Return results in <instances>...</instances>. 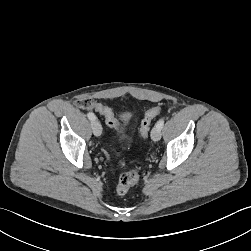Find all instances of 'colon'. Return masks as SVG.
I'll return each mask as SVG.
<instances>
[{
	"instance_id": "colon-1",
	"label": "colon",
	"mask_w": 251,
	"mask_h": 251,
	"mask_svg": "<svg viewBox=\"0 0 251 251\" xmlns=\"http://www.w3.org/2000/svg\"><path fill=\"white\" fill-rule=\"evenodd\" d=\"M162 111L161 107H154L149 109L140 125V137L142 139H146L149 135L150 128H151V122L152 120L160 114ZM96 112L97 114L101 115L104 119H106V123L108 127L115 128L118 126V116L114 113V109L111 106H107L103 103H101L99 100H96L92 106L87 109V113H93ZM139 181V172L137 168H131L127 172H124L117 183L116 191L120 195L126 194L131 187L136 185Z\"/></svg>"
}]
</instances>
